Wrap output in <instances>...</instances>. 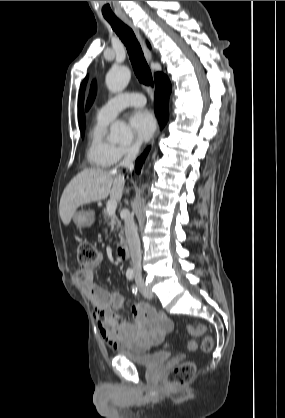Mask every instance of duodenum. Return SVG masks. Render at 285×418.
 Segmentation results:
<instances>
[{"mask_svg":"<svg viewBox=\"0 0 285 418\" xmlns=\"http://www.w3.org/2000/svg\"><path fill=\"white\" fill-rule=\"evenodd\" d=\"M119 257L126 259L130 256V247L128 244H124L118 248Z\"/></svg>","mask_w":285,"mask_h":418,"instance_id":"obj_1","label":"duodenum"}]
</instances>
